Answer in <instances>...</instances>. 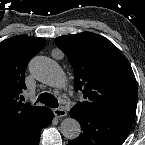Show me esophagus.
Listing matches in <instances>:
<instances>
[{
	"label": "esophagus",
	"mask_w": 145,
	"mask_h": 145,
	"mask_svg": "<svg viewBox=\"0 0 145 145\" xmlns=\"http://www.w3.org/2000/svg\"><path fill=\"white\" fill-rule=\"evenodd\" d=\"M53 113L57 118H61L67 115L66 110H64L63 108L54 109Z\"/></svg>",
	"instance_id": "34e87169"
}]
</instances>
